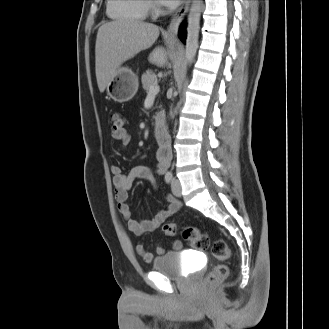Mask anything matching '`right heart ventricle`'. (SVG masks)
Returning a JSON list of instances; mask_svg holds the SVG:
<instances>
[{"label":"right heart ventricle","mask_w":329,"mask_h":329,"mask_svg":"<svg viewBox=\"0 0 329 329\" xmlns=\"http://www.w3.org/2000/svg\"><path fill=\"white\" fill-rule=\"evenodd\" d=\"M107 12L116 19L143 21L149 6L146 0H108Z\"/></svg>","instance_id":"1"}]
</instances>
